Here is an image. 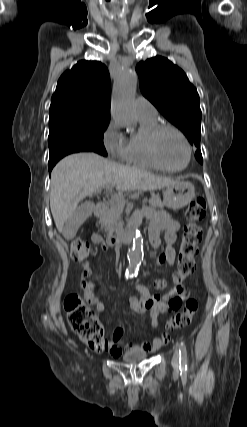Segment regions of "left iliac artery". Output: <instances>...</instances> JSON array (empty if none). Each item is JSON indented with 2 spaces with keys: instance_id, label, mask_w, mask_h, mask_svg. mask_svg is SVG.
Masks as SVG:
<instances>
[{
  "instance_id": "44dca946",
  "label": "left iliac artery",
  "mask_w": 247,
  "mask_h": 427,
  "mask_svg": "<svg viewBox=\"0 0 247 427\" xmlns=\"http://www.w3.org/2000/svg\"><path fill=\"white\" fill-rule=\"evenodd\" d=\"M179 363H180V369L186 370L187 369V349L183 341L179 344Z\"/></svg>"
}]
</instances>
